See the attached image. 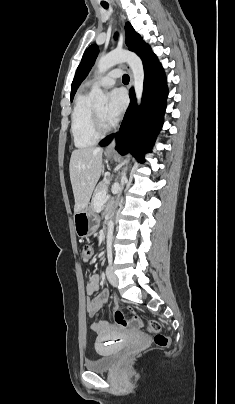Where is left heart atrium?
Segmentation results:
<instances>
[{
	"instance_id": "1",
	"label": "left heart atrium",
	"mask_w": 235,
	"mask_h": 404,
	"mask_svg": "<svg viewBox=\"0 0 235 404\" xmlns=\"http://www.w3.org/2000/svg\"><path fill=\"white\" fill-rule=\"evenodd\" d=\"M127 98L120 89H114L109 93L108 103L105 107L104 117L108 123H115L119 120L126 109Z\"/></svg>"
}]
</instances>
